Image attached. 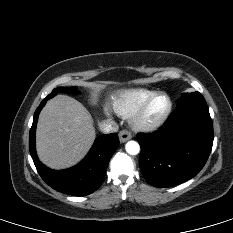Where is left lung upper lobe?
Wrapping results in <instances>:
<instances>
[{
	"label": "left lung upper lobe",
	"instance_id": "5c2ea615",
	"mask_svg": "<svg viewBox=\"0 0 233 233\" xmlns=\"http://www.w3.org/2000/svg\"><path fill=\"white\" fill-rule=\"evenodd\" d=\"M189 100H202L203 101L205 99L202 96V94H200L199 92L184 93L182 97L180 98V100L177 102V106Z\"/></svg>",
	"mask_w": 233,
	"mask_h": 233
}]
</instances>
